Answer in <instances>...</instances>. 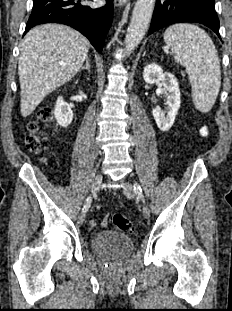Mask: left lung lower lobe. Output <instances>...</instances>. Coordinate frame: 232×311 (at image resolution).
Here are the masks:
<instances>
[{"label":"left lung lower lobe","mask_w":232,"mask_h":311,"mask_svg":"<svg viewBox=\"0 0 232 311\" xmlns=\"http://www.w3.org/2000/svg\"><path fill=\"white\" fill-rule=\"evenodd\" d=\"M181 22L204 24L220 37L214 0H157L148 35Z\"/></svg>","instance_id":"0a47b994"}]
</instances>
